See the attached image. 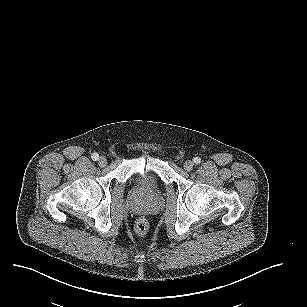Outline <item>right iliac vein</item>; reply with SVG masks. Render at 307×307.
Masks as SVG:
<instances>
[{"label":"right iliac vein","mask_w":307,"mask_h":307,"mask_svg":"<svg viewBox=\"0 0 307 307\" xmlns=\"http://www.w3.org/2000/svg\"><path fill=\"white\" fill-rule=\"evenodd\" d=\"M98 164H99L100 167L106 166L107 165L106 157H104V156L100 157Z\"/></svg>","instance_id":"obj_1"}]
</instances>
